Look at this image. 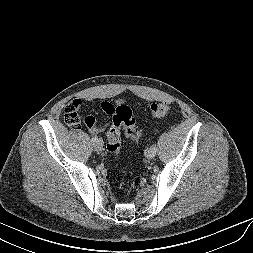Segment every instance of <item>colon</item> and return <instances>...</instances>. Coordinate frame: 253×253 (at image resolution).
Masks as SVG:
<instances>
[{"label":"colon","instance_id":"5ec220e1","mask_svg":"<svg viewBox=\"0 0 253 253\" xmlns=\"http://www.w3.org/2000/svg\"><path fill=\"white\" fill-rule=\"evenodd\" d=\"M80 105L81 103L76 100L66 105L64 109L66 123L74 128L83 123L88 127L93 126L95 118L91 115H83ZM105 108L111 112V127L107 133L106 149L110 154L118 155L121 148V129H124L127 136L133 140H140L143 132L136 125L133 113L127 105L118 103L111 108L106 104ZM150 110L154 118H163L169 113L170 108L165 103H154Z\"/></svg>","mask_w":253,"mask_h":253}]
</instances>
